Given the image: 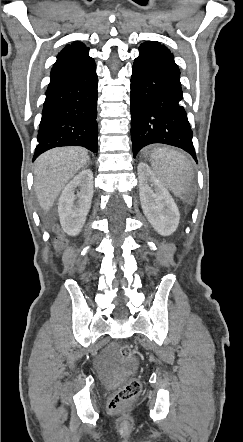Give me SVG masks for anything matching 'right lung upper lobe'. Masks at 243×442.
I'll return each instance as SVG.
<instances>
[{
  "instance_id": "obj_1",
  "label": "right lung upper lobe",
  "mask_w": 243,
  "mask_h": 442,
  "mask_svg": "<svg viewBox=\"0 0 243 442\" xmlns=\"http://www.w3.org/2000/svg\"><path fill=\"white\" fill-rule=\"evenodd\" d=\"M88 48L81 42L74 41L71 45H66V47L58 54L57 59L78 54L87 50Z\"/></svg>"
}]
</instances>
